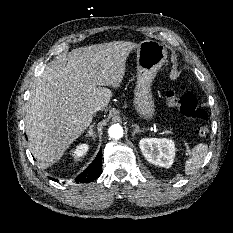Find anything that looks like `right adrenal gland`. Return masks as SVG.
Wrapping results in <instances>:
<instances>
[{"label": "right adrenal gland", "instance_id": "1", "mask_svg": "<svg viewBox=\"0 0 233 233\" xmlns=\"http://www.w3.org/2000/svg\"><path fill=\"white\" fill-rule=\"evenodd\" d=\"M93 127H94V124H92V125L89 127V130H88L86 136H87V137L89 136V137H92V139H95V134H94V132H93Z\"/></svg>", "mask_w": 233, "mask_h": 233}]
</instances>
